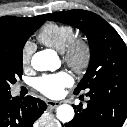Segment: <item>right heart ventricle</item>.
I'll return each mask as SVG.
<instances>
[{"label": "right heart ventricle", "mask_w": 127, "mask_h": 127, "mask_svg": "<svg viewBox=\"0 0 127 127\" xmlns=\"http://www.w3.org/2000/svg\"><path fill=\"white\" fill-rule=\"evenodd\" d=\"M75 36V29L71 25L55 22L46 23L38 33V40L59 52H63L68 42Z\"/></svg>", "instance_id": "e07e8e85"}]
</instances>
